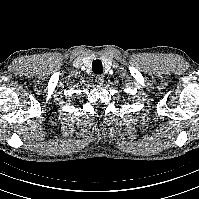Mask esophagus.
<instances>
[{
  "label": "esophagus",
  "mask_w": 199,
  "mask_h": 199,
  "mask_svg": "<svg viewBox=\"0 0 199 199\" xmlns=\"http://www.w3.org/2000/svg\"><path fill=\"white\" fill-rule=\"evenodd\" d=\"M95 81L100 84V85H103L104 81H105V78L103 75H98L95 77Z\"/></svg>",
  "instance_id": "obj_1"
}]
</instances>
